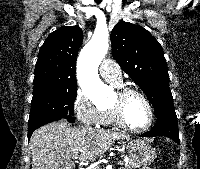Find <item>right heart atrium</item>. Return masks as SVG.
I'll return each instance as SVG.
<instances>
[{
	"instance_id": "obj_1",
	"label": "right heart atrium",
	"mask_w": 200,
	"mask_h": 169,
	"mask_svg": "<svg viewBox=\"0 0 200 169\" xmlns=\"http://www.w3.org/2000/svg\"><path fill=\"white\" fill-rule=\"evenodd\" d=\"M73 111L77 119L84 125L97 126L101 124L103 110L82 91H77L73 101Z\"/></svg>"
}]
</instances>
